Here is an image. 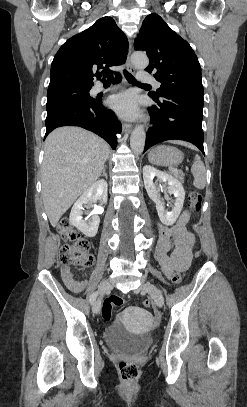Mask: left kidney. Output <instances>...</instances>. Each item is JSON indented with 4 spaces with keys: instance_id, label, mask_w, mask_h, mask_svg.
Returning a JSON list of instances; mask_svg holds the SVG:
<instances>
[{
    "instance_id": "left-kidney-1",
    "label": "left kidney",
    "mask_w": 247,
    "mask_h": 407,
    "mask_svg": "<svg viewBox=\"0 0 247 407\" xmlns=\"http://www.w3.org/2000/svg\"><path fill=\"white\" fill-rule=\"evenodd\" d=\"M154 177H157L159 182L167 183L168 193L173 194L175 197L174 206L170 212L165 210L163 200L158 197L157 183L153 182ZM143 179L148 196L156 203L160 221L164 225H173L182 211L185 199V191L181 182L172 175L161 172L150 165L143 167Z\"/></svg>"
}]
</instances>
